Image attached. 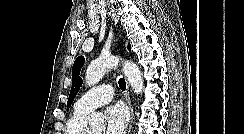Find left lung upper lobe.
Wrapping results in <instances>:
<instances>
[{
    "label": "left lung upper lobe",
    "mask_w": 244,
    "mask_h": 134,
    "mask_svg": "<svg viewBox=\"0 0 244 134\" xmlns=\"http://www.w3.org/2000/svg\"><path fill=\"white\" fill-rule=\"evenodd\" d=\"M130 49H131L130 45L128 44V50H130ZM83 63H84V57L79 56L75 60L73 68H72V86H71L70 96H69L68 102H67V106H69V107L71 106V104L74 100V97L76 96L77 92L79 91V89L83 83L81 77L79 76ZM67 110H68V108H67Z\"/></svg>",
    "instance_id": "obj_1"
}]
</instances>
